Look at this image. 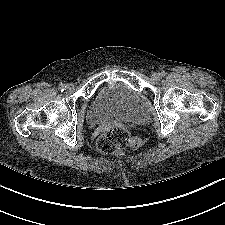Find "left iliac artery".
I'll use <instances>...</instances> for the list:
<instances>
[{"mask_svg": "<svg viewBox=\"0 0 225 225\" xmlns=\"http://www.w3.org/2000/svg\"><path fill=\"white\" fill-rule=\"evenodd\" d=\"M159 75H160V78H162L165 76V72L163 71V72L159 73Z\"/></svg>", "mask_w": 225, "mask_h": 225, "instance_id": "left-iliac-artery-1", "label": "left iliac artery"}]
</instances>
